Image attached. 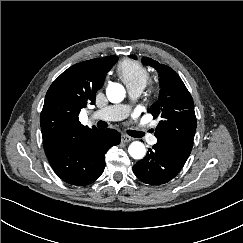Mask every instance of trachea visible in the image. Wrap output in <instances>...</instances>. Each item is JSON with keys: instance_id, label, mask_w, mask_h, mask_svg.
Listing matches in <instances>:
<instances>
[{"instance_id": "obj_1", "label": "trachea", "mask_w": 243, "mask_h": 243, "mask_svg": "<svg viewBox=\"0 0 243 243\" xmlns=\"http://www.w3.org/2000/svg\"><path fill=\"white\" fill-rule=\"evenodd\" d=\"M97 126H98L99 128H103V127L105 126V122L100 121V122L97 123ZM128 134H129L130 136H132V137H135V138H140V137H142V133L139 132V131H135V130H129V131H128Z\"/></svg>"}]
</instances>
